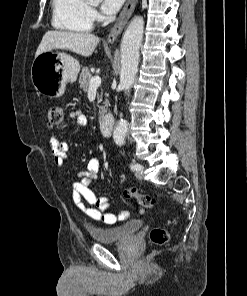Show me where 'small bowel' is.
Segmentation results:
<instances>
[{
	"label": "small bowel",
	"instance_id": "obj_1",
	"mask_svg": "<svg viewBox=\"0 0 247 296\" xmlns=\"http://www.w3.org/2000/svg\"><path fill=\"white\" fill-rule=\"evenodd\" d=\"M69 117L78 127H86L88 120L84 114L79 111L70 113ZM53 152V160L56 166L62 167L68 156V145L61 142L54 134L50 139ZM100 160L98 157H92L87 164V170L78 174V178L70 183L72 198L76 206L93 220L107 225H113L125 220L129 213L110 212L109 198L107 196H97L90 185L98 179Z\"/></svg>",
	"mask_w": 247,
	"mask_h": 296
}]
</instances>
